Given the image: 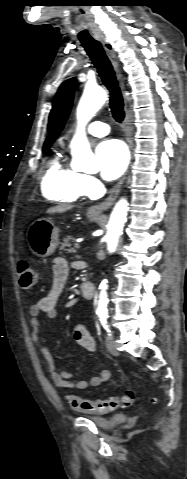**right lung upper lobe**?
<instances>
[{
	"label": "right lung upper lobe",
	"mask_w": 187,
	"mask_h": 479,
	"mask_svg": "<svg viewBox=\"0 0 187 479\" xmlns=\"http://www.w3.org/2000/svg\"><path fill=\"white\" fill-rule=\"evenodd\" d=\"M71 103H72V98L67 106V109H66V112L63 116V118L61 119L58 127L56 128V130L48 137V139L46 140L45 144H44V149L43 151H47V149L49 148V146L51 145V143L57 138V136L59 135V132L62 130V128L64 127V123H65V120L67 119V116L69 114V111H70V108H71Z\"/></svg>",
	"instance_id": "1"
}]
</instances>
